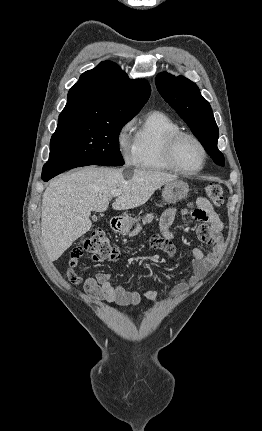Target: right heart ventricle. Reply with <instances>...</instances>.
Segmentation results:
<instances>
[{"instance_id":"obj_1","label":"right heart ventricle","mask_w":262,"mask_h":431,"mask_svg":"<svg viewBox=\"0 0 262 431\" xmlns=\"http://www.w3.org/2000/svg\"><path fill=\"white\" fill-rule=\"evenodd\" d=\"M182 132L180 126L160 111H150L134 125L133 161L142 169L175 171L167 162L165 148L167 139Z\"/></svg>"}]
</instances>
